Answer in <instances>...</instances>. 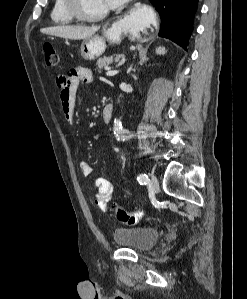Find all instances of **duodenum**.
<instances>
[{
	"label": "duodenum",
	"mask_w": 247,
	"mask_h": 299,
	"mask_svg": "<svg viewBox=\"0 0 247 299\" xmlns=\"http://www.w3.org/2000/svg\"><path fill=\"white\" fill-rule=\"evenodd\" d=\"M113 106L111 104H108L104 107L102 112V118L104 122H110L113 116Z\"/></svg>",
	"instance_id": "obj_1"
}]
</instances>
